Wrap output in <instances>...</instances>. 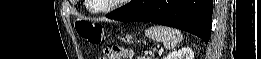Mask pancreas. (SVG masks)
I'll use <instances>...</instances> for the list:
<instances>
[{"label":"pancreas","instance_id":"pancreas-1","mask_svg":"<svg viewBox=\"0 0 261 59\" xmlns=\"http://www.w3.org/2000/svg\"><path fill=\"white\" fill-rule=\"evenodd\" d=\"M145 59V58H144ZM146 59H151V57H146Z\"/></svg>","mask_w":261,"mask_h":59}]
</instances>
